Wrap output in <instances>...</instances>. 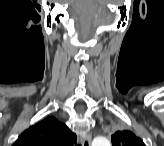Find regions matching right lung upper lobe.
Wrapping results in <instances>:
<instances>
[{
	"instance_id": "right-lung-upper-lobe-1",
	"label": "right lung upper lobe",
	"mask_w": 164,
	"mask_h": 146,
	"mask_svg": "<svg viewBox=\"0 0 164 146\" xmlns=\"http://www.w3.org/2000/svg\"><path fill=\"white\" fill-rule=\"evenodd\" d=\"M76 138L65 124L49 117L25 130L13 146H72Z\"/></svg>"
}]
</instances>
